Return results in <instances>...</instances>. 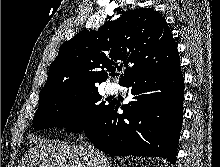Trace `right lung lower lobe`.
I'll return each mask as SVG.
<instances>
[{"instance_id": "1", "label": "right lung lower lobe", "mask_w": 220, "mask_h": 167, "mask_svg": "<svg viewBox=\"0 0 220 167\" xmlns=\"http://www.w3.org/2000/svg\"><path fill=\"white\" fill-rule=\"evenodd\" d=\"M179 64L124 83L131 101L121 107L123 114L117 113L119 104L112 101L84 130L95 147L114 156H157L174 164L183 118L184 81Z\"/></svg>"}]
</instances>
